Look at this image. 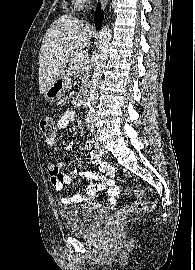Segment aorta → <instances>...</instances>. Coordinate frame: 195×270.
I'll return each instance as SVG.
<instances>
[{
    "instance_id": "762f6f07",
    "label": "aorta",
    "mask_w": 195,
    "mask_h": 270,
    "mask_svg": "<svg viewBox=\"0 0 195 270\" xmlns=\"http://www.w3.org/2000/svg\"><path fill=\"white\" fill-rule=\"evenodd\" d=\"M111 43V29L105 25L99 33V50L95 61V68L92 75V85L87 101V116L93 117L95 113V105L98 99V90L101 82V77L104 71L105 61L108 57L109 46Z\"/></svg>"
}]
</instances>
